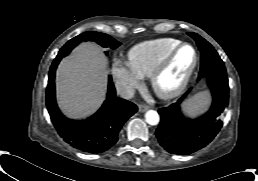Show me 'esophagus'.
I'll return each mask as SVG.
<instances>
[{
	"mask_svg": "<svg viewBox=\"0 0 258 181\" xmlns=\"http://www.w3.org/2000/svg\"><path fill=\"white\" fill-rule=\"evenodd\" d=\"M148 109H149V106H147V105L141 104V105L138 106V110H139L140 112H145V111H147Z\"/></svg>",
	"mask_w": 258,
	"mask_h": 181,
	"instance_id": "34e87169",
	"label": "esophagus"
}]
</instances>
